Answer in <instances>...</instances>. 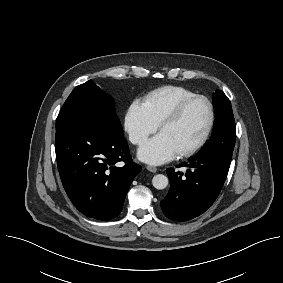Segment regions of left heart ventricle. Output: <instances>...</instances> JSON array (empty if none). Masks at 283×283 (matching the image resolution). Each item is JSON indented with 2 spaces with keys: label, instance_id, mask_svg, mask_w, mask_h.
<instances>
[{
  "label": "left heart ventricle",
  "instance_id": "b2bd125f",
  "mask_svg": "<svg viewBox=\"0 0 283 283\" xmlns=\"http://www.w3.org/2000/svg\"><path fill=\"white\" fill-rule=\"evenodd\" d=\"M208 119L207 104L197 100L188 106L176 123L164 127L160 133L169 139L179 153L199 140L206 129Z\"/></svg>",
  "mask_w": 283,
  "mask_h": 283
}]
</instances>
